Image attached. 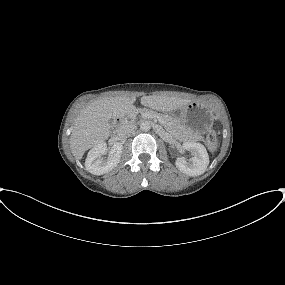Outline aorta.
Segmentation results:
<instances>
[{
	"label": "aorta",
	"mask_w": 285,
	"mask_h": 285,
	"mask_svg": "<svg viewBox=\"0 0 285 285\" xmlns=\"http://www.w3.org/2000/svg\"><path fill=\"white\" fill-rule=\"evenodd\" d=\"M140 129H141L142 131H144V132L149 131V130L151 129V123H150V121H147V120L142 121V122L140 123Z\"/></svg>",
	"instance_id": "aorta-1"
}]
</instances>
